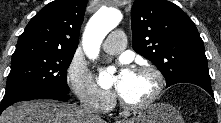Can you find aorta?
I'll return each instance as SVG.
<instances>
[{"mask_svg": "<svg viewBox=\"0 0 221 123\" xmlns=\"http://www.w3.org/2000/svg\"><path fill=\"white\" fill-rule=\"evenodd\" d=\"M121 20V12L114 8H101L91 17L82 38L84 50L90 59H95L98 56L102 41ZM111 74L110 70L100 72L98 84L101 87L111 85L113 82Z\"/></svg>", "mask_w": 221, "mask_h": 123, "instance_id": "762f6f07", "label": "aorta"}]
</instances>
